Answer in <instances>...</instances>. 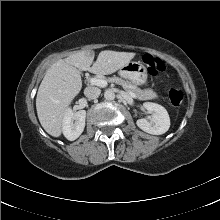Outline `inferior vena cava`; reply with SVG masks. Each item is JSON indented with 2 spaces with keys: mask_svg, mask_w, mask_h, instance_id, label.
Segmentation results:
<instances>
[{
  "mask_svg": "<svg viewBox=\"0 0 220 220\" xmlns=\"http://www.w3.org/2000/svg\"><path fill=\"white\" fill-rule=\"evenodd\" d=\"M101 90L97 87H86L84 90V95L89 100H95L100 96Z\"/></svg>",
  "mask_w": 220,
  "mask_h": 220,
  "instance_id": "602c4592",
  "label": "inferior vena cava"
}]
</instances>
